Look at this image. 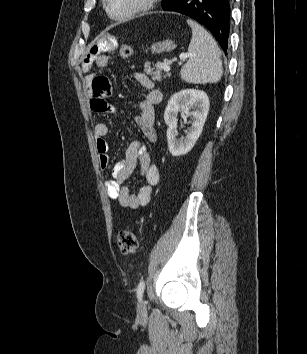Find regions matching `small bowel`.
<instances>
[{"instance_id": "small-bowel-1", "label": "small bowel", "mask_w": 307, "mask_h": 354, "mask_svg": "<svg viewBox=\"0 0 307 354\" xmlns=\"http://www.w3.org/2000/svg\"><path fill=\"white\" fill-rule=\"evenodd\" d=\"M116 47V37L113 34H105L90 48L81 64L83 71L87 73L84 82L91 90V108L97 113H115V109L108 102L111 90L109 80L104 76H97L92 71L94 67L105 68L108 65V58L102 52L114 50ZM134 77L146 90L136 118L143 139L134 140L129 144L125 158L113 165L112 179L106 181L105 187L108 196L117 199L122 207L138 209L150 203L152 189L160 181L159 170L151 162L144 139L149 142L156 140L154 105L161 101L162 94L145 74L137 72ZM108 132V125L104 122H98L94 127L99 164L102 169H106L110 162L109 145L106 140ZM137 167L146 184L136 194H132L129 180Z\"/></svg>"}]
</instances>
